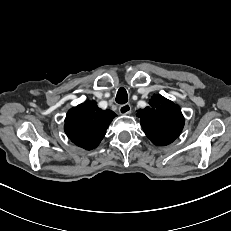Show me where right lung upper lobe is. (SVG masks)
I'll use <instances>...</instances> for the list:
<instances>
[{"label": "right lung upper lobe", "mask_w": 231, "mask_h": 231, "mask_svg": "<svg viewBox=\"0 0 231 231\" xmlns=\"http://www.w3.org/2000/svg\"><path fill=\"white\" fill-rule=\"evenodd\" d=\"M115 116L109 109L98 108L95 101H86L68 111L64 130L74 144L91 150L99 145Z\"/></svg>", "instance_id": "1"}]
</instances>
